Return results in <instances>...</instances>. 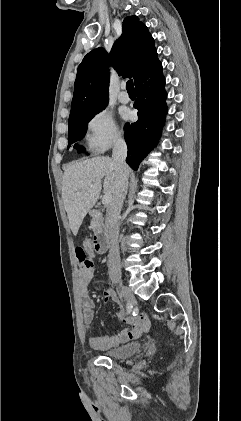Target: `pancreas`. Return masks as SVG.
I'll list each match as a JSON object with an SVG mask.
<instances>
[{"instance_id": "pancreas-1", "label": "pancreas", "mask_w": 241, "mask_h": 421, "mask_svg": "<svg viewBox=\"0 0 241 421\" xmlns=\"http://www.w3.org/2000/svg\"><path fill=\"white\" fill-rule=\"evenodd\" d=\"M91 228H92L93 231H96V229H97V224L94 220L91 222Z\"/></svg>"}]
</instances>
